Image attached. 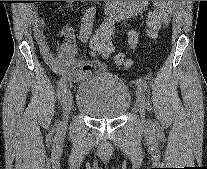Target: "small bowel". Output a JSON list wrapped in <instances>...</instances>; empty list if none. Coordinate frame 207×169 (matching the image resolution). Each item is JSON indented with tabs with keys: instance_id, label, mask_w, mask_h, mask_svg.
I'll return each mask as SVG.
<instances>
[{
	"instance_id": "c3829d8e",
	"label": "small bowel",
	"mask_w": 207,
	"mask_h": 169,
	"mask_svg": "<svg viewBox=\"0 0 207 169\" xmlns=\"http://www.w3.org/2000/svg\"><path fill=\"white\" fill-rule=\"evenodd\" d=\"M67 2L73 3L74 1ZM146 2L109 1L106 6L107 19L101 29L112 32L115 21L137 15L144 9ZM29 18L33 25L40 54L54 72L68 80H80L103 70L104 66L101 62L97 60L85 61L78 57L74 29L68 20L60 30L61 40L58 43L57 50L53 51L44 32L46 21L35 10L29 12Z\"/></svg>"
}]
</instances>
